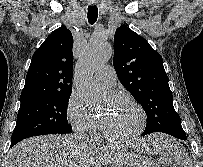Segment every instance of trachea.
Masks as SVG:
<instances>
[{"instance_id":"trachea-1","label":"trachea","mask_w":203,"mask_h":167,"mask_svg":"<svg viewBox=\"0 0 203 167\" xmlns=\"http://www.w3.org/2000/svg\"><path fill=\"white\" fill-rule=\"evenodd\" d=\"M98 8L94 6L88 7V21L90 24H94L97 21Z\"/></svg>"}]
</instances>
